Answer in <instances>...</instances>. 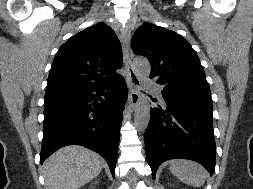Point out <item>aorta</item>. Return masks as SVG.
Listing matches in <instances>:
<instances>
[{
    "instance_id": "1",
    "label": "aorta",
    "mask_w": 253,
    "mask_h": 189,
    "mask_svg": "<svg viewBox=\"0 0 253 189\" xmlns=\"http://www.w3.org/2000/svg\"><path fill=\"white\" fill-rule=\"evenodd\" d=\"M134 69L138 75L148 76L151 71L150 63L147 59L136 58ZM150 120V104L146 96H143L135 109L134 126L140 132H144Z\"/></svg>"
}]
</instances>
